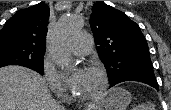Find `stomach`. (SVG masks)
<instances>
[{
    "label": "stomach",
    "instance_id": "stomach-1",
    "mask_svg": "<svg viewBox=\"0 0 171 110\" xmlns=\"http://www.w3.org/2000/svg\"><path fill=\"white\" fill-rule=\"evenodd\" d=\"M131 94L123 88L110 89L102 102L94 110H126L131 102Z\"/></svg>",
    "mask_w": 171,
    "mask_h": 110
}]
</instances>
